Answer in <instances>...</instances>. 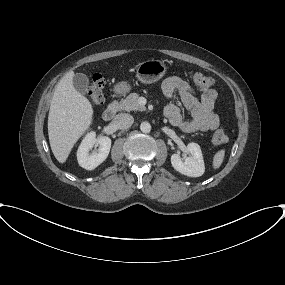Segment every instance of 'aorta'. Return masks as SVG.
<instances>
[{
    "mask_svg": "<svg viewBox=\"0 0 285 285\" xmlns=\"http://www.w3.org/2000/svg\"><path fill=\"white\" fill-rule=\"evenodd\" d=\"M140 130L143 132V133H149L151 131V125L149 122H142L141 125H140Z\"/></svg>",
    "mask_w": 285,
    "mask_h": 285,
    "instance_id": "obj_1",
    "label": "aorta"
}]
</instances>
